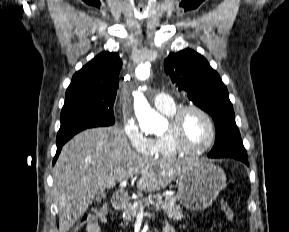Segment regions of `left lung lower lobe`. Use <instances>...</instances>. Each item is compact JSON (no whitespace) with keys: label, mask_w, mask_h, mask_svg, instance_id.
Returning <instances> with one entry per match:
<instances>
[{"label":"left lung lower lobe","mask_w":289,"mask_h":232,"mask_svg":"<svg viewBox=\"0 0 289 232\" xmlns=\"http://www.w3.org/2000/svg\"><path fill=\"white\" fill-rule=\"evenodd\" d=\"M227 157L243 161L246 165H249L247 158L245 156H227Z\"/></svg>","instance_id":"1"}]
</instances>
